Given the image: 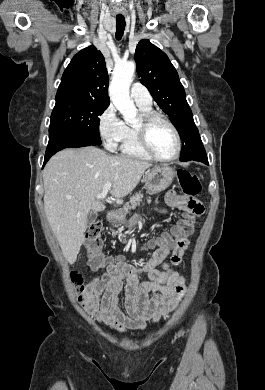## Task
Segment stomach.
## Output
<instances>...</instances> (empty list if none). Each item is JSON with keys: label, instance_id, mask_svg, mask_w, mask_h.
<instances>
[{"label": "stomach", "instance_id": "stomach-1", "mask_svg": "<svg viewBox=\"0 0 265 390\" xmlns=\"http://www.w3.org/2000/svg\"><path fill=\"white\" fill-rule=\"evenodd\" d=\"M175 175V170L166 166H158L149 170L145 175V188L147 193L152 195L164 191L171 185ZM135 222V219L131 220L129 227L133 226Z\"/></svg>", "mask_w": 265, "mask_h": 390}]
</instances>
